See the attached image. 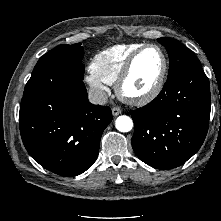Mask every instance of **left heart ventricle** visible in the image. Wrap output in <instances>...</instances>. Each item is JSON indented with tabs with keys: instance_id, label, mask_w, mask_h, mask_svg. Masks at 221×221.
<instances>
[{
	"instance_id": "1",
	"label": "left heart ventricle",
	"mask_w": 221,
	"mask_h": 221,
	"mask_svg": "<svg viewBox=\"0 0 221 221\" xmlns=\"http://www.w3.org/2000/svg\"><path fill=\"white\" fill-rule=\"evenodd\" d=\"M162 67V57L156 48L146 49L134 64L132 73L124 84V92L138 96L148 92L155 84Z\"/></svg>"
}]
</instances>
